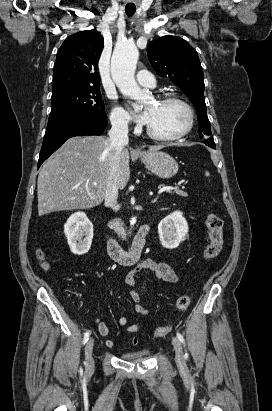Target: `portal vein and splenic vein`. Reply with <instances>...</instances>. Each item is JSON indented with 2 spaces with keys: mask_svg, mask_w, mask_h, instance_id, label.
<instances>
[{
  "mask_svg": "<svg viewBox=\"0 0 272 411\" xmlns=\"http://www.w3.org/2000/svg\"><path fill=\"white\" fill-rule=\"evenodd\" d=\"M94 185H96V183H94ZM178 187H173V186H164V187H162L160 190H159V192H158V194H161L162 192H164V191H169V190H173V189H177Z\"/></svg>",
  "mask_w": 272,
  "mask_h": 411,
  "instance_id": "obj_1",
  "label": "portal vein and splenic vein"
}]
</instances>
